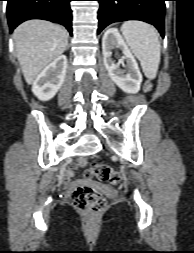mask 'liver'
I'll use <instances>...</instances> for the list:
<instances>
[{
  "label": "liver",
  "mask_w": 194,
  "mask_h": 253,
  "mask_svg": "<svg viewBox=\"0 0 194 253\" xmlns=\"http://www.w3.org/2000/svg\"><path fill=\"white\" fill-rule=\"evenodd\" d=\"M16 55L23 76L31 84L37 75L59 57L68 45V34L60 25L44 20H29L13 33Z\"/></svg>",
  "instance_id": "liver-1"
}]
</instances>
